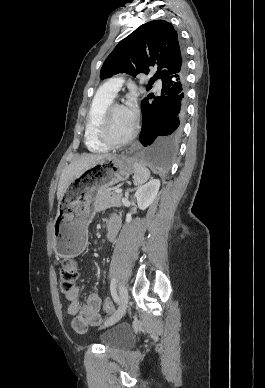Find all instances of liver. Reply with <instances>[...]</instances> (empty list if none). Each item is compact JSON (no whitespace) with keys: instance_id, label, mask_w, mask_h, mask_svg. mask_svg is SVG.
Segmentation results:
<instances>
[{"instance_id":"liver-1","label":"liver","mask_w":265,"mask_h":388,"mask_svg":"<svg viewBox=\"0 0 265 388\" xmlns=\"http://www.w3.org/2000/svg\"><path fill=\"white\" fill-rule=\"evenodd\" d=\"M107 156H112V154H89V156H82V158H78V160H75V162H71L69 166H66V168L62 170V174L60 176L57 190V200H62L68 186H70L74 178H77V176L82 174V172L87 170V168L94 166L98 160L107 158Z\"/></svg>"}]
</instances>
